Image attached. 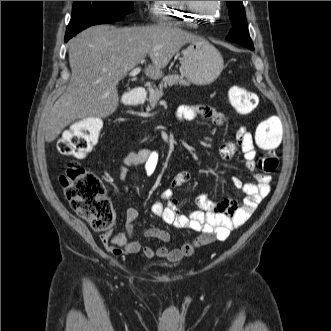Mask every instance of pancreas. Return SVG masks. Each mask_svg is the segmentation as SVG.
I'll return each instance as SVG.
<instances>
[{
  "label": "pancreas",
  "mask_w": 331,
  "mask_h": 331,
  "mask_svg": "<svg viewBox=\"0 0 331 331\" xmlns=\"http://www.w3.org/2000/svg\"><path fill=\"white\" fill-rule=\"evenodd\" d=\"M183 85L188 86L189 83L184 80L182 76L179 75H169L162 79V82L159 85V88H155V90H150L149 94V103L152 107H155L157 102L160 100V98L163 96V89L167 88L168 86L173 85Z\"/></svg>",
  "instance_id": "pancreas-1"
}]
</instances>
